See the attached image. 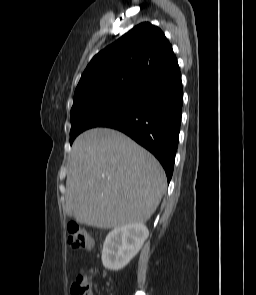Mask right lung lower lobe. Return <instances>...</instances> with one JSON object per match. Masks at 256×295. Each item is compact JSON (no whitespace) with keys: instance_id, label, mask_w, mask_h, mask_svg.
<instances>
[{"instance_id":"1","label":"right lung lower lobe","mask_w":256,"mask_h":295,"mask_svg":"<svg viewBox=\"0 0 256 295\" xmlns=\"http://www.w3.org/2000/svg\"><path fill=\"white\" fill-rule=\"evenodd\" d=\"M135 93L130 107L98 126L119 130L153 153L169 182L178 147L183 100L177 59Z\"/></svg>"}]
</instances>
